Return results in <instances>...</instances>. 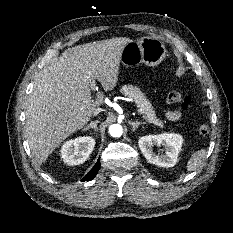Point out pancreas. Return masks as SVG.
Returning a JSON list of instances; mask_svg holds the SVG:
<instances>
[{
  "label": "pancreas",
  "mask_w": 233,
  "mask_h": 233,
  "mask_svg": "<svg viewBox=\"0 0 233 233\" xmlns=\"http://www.w3.org/2000/svg\"><path fill=\"white\" fill-rule=\"evenodd\" d=\"M120 92L124 96H127L135 101V104L139 108V112L148 122L153 123L159 127H164L163 122L156 117L151 103L138 87L132 85H124L120 89Z\"/></svg>",
  "instance_id": "obj_1"
}]
</instances>
